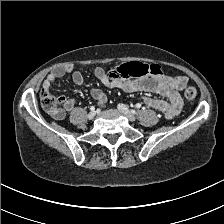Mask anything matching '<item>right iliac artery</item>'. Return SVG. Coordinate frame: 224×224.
Returning <instances> with one entry per match:
<instances>
[{
  "instance_id": "right-iliac-artery-1",
  "label": "right iliac artery",
  "mask_w": 224,
  "mask_h": 224,
  "mask_svg": "<svg viewBox=\"0 0 224 224\" xmlns=\"http://www.w3.org/2000/svg\"><path fill=\"white\" fill-rule=\"evenodd\" d=\"M90 110H91V111H94V110H95V106H91V107H90Z\"/></svg>"
}]
</instances>
